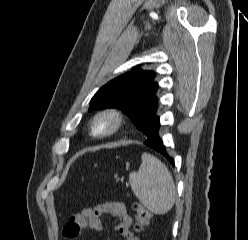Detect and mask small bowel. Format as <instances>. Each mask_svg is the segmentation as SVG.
Masks as SVG:
<instances>
[{
    "label": "small bowel",
    "instance_id": "small-bowel-1",
    "mask_svg": "<svg viewBox=\"0 0 248 240\" xmlns=\"http://www.w3.org/2000/svg\"><path fill=\"white\" fill-rule=\"evenodd\" d=\"M103 215H112L118 220L115 226L116 232L126 240H135L131 231L132 219L127 213L125 205L120 201L101 202L95 207L84 208L81 212L72 215L62 230V236L66 240H78L87 230L102 231Z\"/></svg>",
    "mask_w": 248,
    "mask_h": 240
}]
</instances>
